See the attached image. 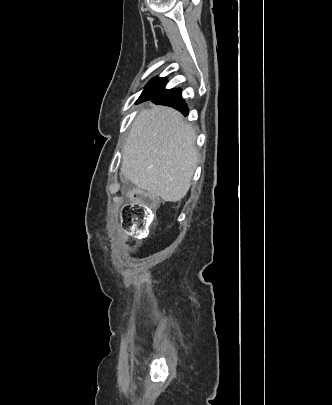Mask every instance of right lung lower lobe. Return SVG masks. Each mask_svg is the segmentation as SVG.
<instances>
[{"label": "right lung lower lobe", "instance_id": "1", "mask_svg": "<svg viewBox=\"0 0 332 405\" xmlns=\"http://www.w3.org/2000/svg\"><path fill=\"white\" fill-rule=\"evenodd\" d=\"M153 99V102L159 105L171 106L183 115H188V108L184 100H182L181 89H172L160 93L144 94L139 97L138 102Z\"/></svg>", "mask_w": 332, "mask_h": 405}]
</instances>
